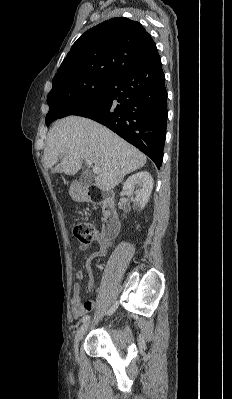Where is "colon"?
<instances>
[{"instance_id": "colon-1", "label": "colon", "mask_w": 232, "mask_h": 399, "mask_svg": "<svg viewBox=\"0 0 232 399\" xmlns=\"http://www.w3.org/2000/svg\"><path fill=\"white\" fill-rule=\"evenodd\" d=\"M68 224H73V219H68ZM93 231L92 222H74V231H70V236H75L80 244H91Z\"/></svg>"}]
</instances>
